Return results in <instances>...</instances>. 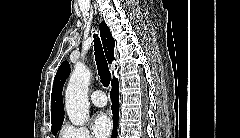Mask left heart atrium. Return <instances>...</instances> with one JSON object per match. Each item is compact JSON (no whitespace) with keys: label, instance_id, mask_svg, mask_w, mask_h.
Listing matches in <instances>:
<instances>
[{"label":"left heart atrium","instance_id":"1","mask_svg":"<svg viewBox=\"0 0 240 138\" xmlns=\"http://www.w3.org/2000/svg\"><path fill=\"white\" fill-rule=\"evenodd\" d=\"M112 122L108 115L103 112L98 113L93 121L92 129L97 138H105L109 135Z\"/></svg>","mask_w":240,"mask_h":138}]
</instances>
